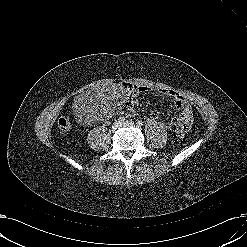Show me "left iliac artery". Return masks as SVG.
<instances>
[{
  "label": "left iliac artery",
  "instance_id": "left-iliac-artery-1",
  "mask_svg": "<svg viewBox=\"0 0 247 247\" xmlns=\"http://www.w3.org/2000/svg\"><path fill=\"white\" fill-rule=\"evenodd\" d=\"M142 125H143V122H142V121H138V122H137V126H138V127H141Z\"/></svg>",
  "mask_w": 247,
  "mask_h": 247
}]
</instances>
